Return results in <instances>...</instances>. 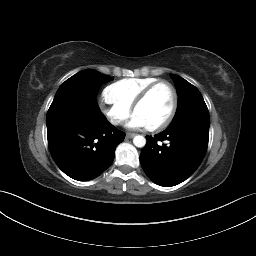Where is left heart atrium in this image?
Segmentation results:
<instances>
[{"label":"left heart atrium","mask_w":256,"mask_h":256,"mask_svg":"<svg viewBox=\"0 0 256 256\" xmlns=\"http://www.w3.org/2000/svg\"><path fill=\"white\" fill-rule=\"evenodd\" d=\"M126 127L131 130L146 128L145 122L137 115L133 114L130 120L126 123Z\"/></svg>","instance_id":"left-heart-atrium-1"}]
</instances>
